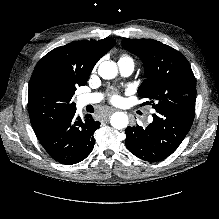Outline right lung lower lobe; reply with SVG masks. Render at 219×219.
Wrapping results in <instances>:
<instances>
[{"instance_id":"right-lung-lower-lobe-1","label":"right lung lower lobe","mask_w":219,"mask_h":219,"mask_svg":"<svg viewBox=\"0 0 219 219\" xmlns=\"http://www.w3.org/2000/svg\"><path fill=\"white\" fill-rule=\"evenodd\" d=\"M76 108L54 117L31 115L36 135L48 154L56 161L71 165L84 160L93 150L94 132L100 122L91 115L76 117Z\"/></svg>"}]
</instances>
